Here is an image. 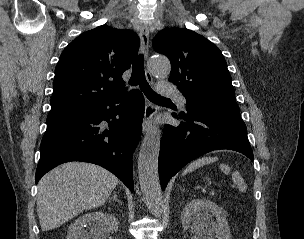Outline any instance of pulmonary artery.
<instances>
[{"mask_svg":"<svg viewBox=\"0 0 304 239\" xmlns=\"http://www.w3.org/2000/svg\"><path fill=\"white\" fill-rule=\"evenodd\" d=\"M158 92L162 95V96H166V97H172L175 98L179 101L180 105L185 107L187 100L186 98L183 96V94L178 91L175 87H173L171 84L166 83V82H161L158 85Z\"/></svg>","mask_w":304,"mask_h":239,"instance_id":"obj_1","label":"pulmonary artery"}]
</instances>
